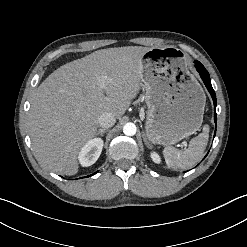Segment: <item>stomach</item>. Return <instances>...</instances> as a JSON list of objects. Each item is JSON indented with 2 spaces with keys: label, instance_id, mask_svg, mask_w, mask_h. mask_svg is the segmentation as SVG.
<instances>
[{
  "label": "stomach",
  "instance_id": "stomach-1",
  "mask_svg": "<svg viewBox=\"0 0 247 247\" xmlns=\"http://www.w3.org/2000/svg\"><path fill=\"white\" fill-rule=\"evenodd\" d=\"M150 142L173 145L196 133L203 122L205 93L175 47L151 48L141 60Z\"/></svg>",
  "mask_w": 247,
  "mask_h": 247
}]
</instances>
